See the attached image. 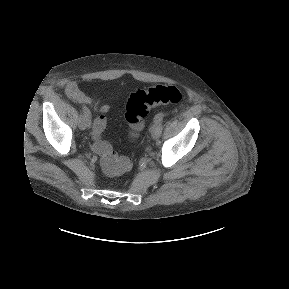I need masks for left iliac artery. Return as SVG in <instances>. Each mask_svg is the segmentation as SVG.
<instances>
[{
    "label": "left iliac artery",
    "mask_w": 289,
    "mask_h": 289,
    "mask_svg": "<svg viewBox=\"0 0 289 289\" xmlns=\"http://www.w3.org/2000/svg\"><path fill=\"white\" fill-rule=\"evenodd\" d=\"M164 113L160 112L158 113L155 117H154V122H162L163 118H164Z\"/></svg>",
    "instance_id": "left-iliac-artery-1"
}]
</instances>
